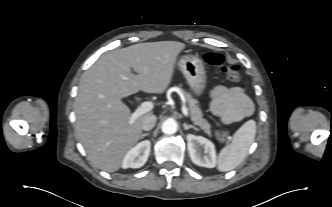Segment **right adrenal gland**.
<instances>
[{"instance_id":"2a0ac1e0","label":"right adrenal gland","mask_w":332,"mask_h":207,"mask_svg":"<svg viewBox=\"0 0 332 207\" xmlns=\"http://www.w3.org/2000/svg\"><path fill=\"white\" fill-rule=\"evenodd\" d=\"M148 135H150V133H143V134L141 135V139L144 138L145 136H148Z\"/></svg>"}]
</instances>
